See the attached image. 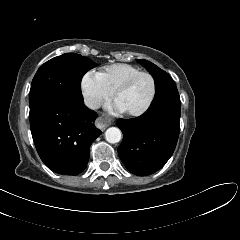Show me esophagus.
Masks as SVG:
<instances>
[{"instance_id": "1", "label": "esophagus", "mask_w": 240, "mask_h": 240, "mask_svg": "<svg viewBox=\"0 0 240 240\" xmlns=\"http://www.w3.org/2000/svg\"><path fill=\"white\" fill-rule=\"evenodd\" d=\"M95 123L98 128L104 130L110 125L111 119L108 116H100Z\"/></svg>"}]
</instances>
